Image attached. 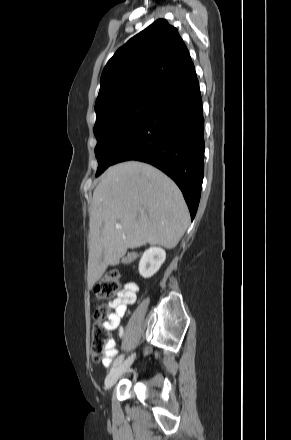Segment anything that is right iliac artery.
Instances as JSON below:
<instances>
[{
	"mask_svg": "<svg viewBox=\"0 0 291 440\" xmlns=\"http://www.w3.org/2000/svg\"><path fill=\"white\" fill-rule=\"evenodd\" d=\"M123 359H124V355H123V354L119 355V356L114 360L113 368H114V367H117L119 364H121V362L123 361Z\"/></svg>",
	"mask_w": 291,
	"mask_h": 440,
	"instance_id": "obj_1",
	"label": "right iliac artery"
}]
</instances>
